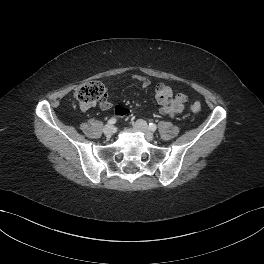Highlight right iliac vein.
<instances>
[{"mask_svg":"<svg viewBox=\"0 0 264 264\" xmlns=\"http://www.w3.org/2000/svg\"><path fill=\"white\" fill-rule=\"evenodd\" d=\"M103 132L106 136H111L114 132V127L110 124L105 125V127L103 128Z\"/></svg>","mask_w":264,"mask_h":264,"instance_id":"63e3f726","label":"right iliac vein"}]
</instances>
